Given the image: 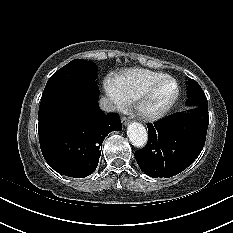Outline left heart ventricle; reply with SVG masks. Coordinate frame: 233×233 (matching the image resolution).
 I'll return each instance as SVG.
<instances>
[{"label":"left heart ventricle","mask_w":233,"mask_h":233,"mask_svg":"<svg viewBox=\"0 0 233 233\" xmlns=\"http://www.w3.org/2000/svg\"><path fill=\"white\" fill-rule=\"evenodd\" d=\"M175 87L171 82L161 84L146 104L147 111L161 108L174 94Z\"/></svg>","instance_id":"1"}]
</instances>
